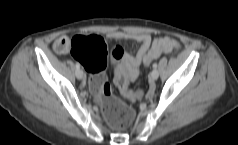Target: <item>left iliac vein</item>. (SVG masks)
<instances>
[{
	"mask_svg": "<svg viewBox=\"0 0 238 145\" xmlns=\"http://www.w3.org/2000/svg\"><path fill=\"white\" fill-rule=\"evenodd\" d=\"M158 77H159V72H158V70H157V69H153L152 72H151L150 75H149V79H150L151 81H155V80L158 79Z\"/></svg>",
	"mask_w": 238,
	"mask_h": 145,
	"instance_id": "left-iliac-vein-1",
	"label": "left iliac vein"
}]
</instances>
